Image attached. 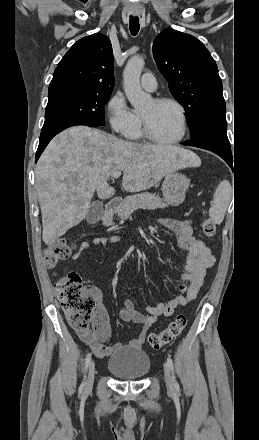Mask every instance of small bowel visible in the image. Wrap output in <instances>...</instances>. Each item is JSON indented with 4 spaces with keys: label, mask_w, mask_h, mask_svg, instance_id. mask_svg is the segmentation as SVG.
I'll list each match as a JSON object with an SVG mask.
<instances>
[{
    "label": "small bowel",
    "mask_w": 259,
    "mask_h": 440,
    "mask_svg": "<svg viewBox=\"0 0 259 440\" xmlns=\"http://www.w3.org/2000/svg\"><path fill=\"white\" fill-rule=\"evenodd\" d=\"M159 222L172 234L176 246L186 253L184 272L178 286L179 292L167 303L148 306L146 307V313H143L135 308V304L131 299L124 301L119 312L120 318L123 321L133 322L141 326L138 336L130 341V345L135 348L141 347L149 328L159 317L172 315L177 307L186 305L196 297L204 282L207 270L215 263V258L210 249L202 240L194 236L193 227L189 220L161 218ZM122 239V236H112L96 237L91 242L84 241L78 246L72 259L77 260L80 258L81 254L91 245L106 247ZM92 292L94 298L98 301L92 328L76 329V333L94 351L96 356L103 358L111 354L119 344L114 346L107 344L111 335L107 311L101 302L99 289L92 287Z\"/></svg>",
    "instance_id": "small-bowel-1"
}]
</instances>
